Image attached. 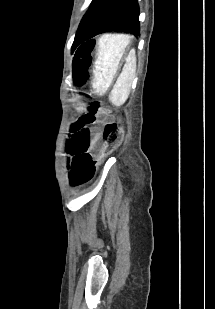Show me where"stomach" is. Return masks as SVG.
Here are the masks:
<instances>
[{
	"instance_id": "stomach-1",
	"label": "stomach",
	"mask_w": 215,
	"mask_h": 309,
	"mask_svg": "<svg viewBox=\"0 0 215 309\" xmlns=\"http://www.w3.org/2000/svg\"><path fill=\"white\" fill-rule=\"evenodd\" d=\"M130 43V36L122 33H109L99 38L92 80L97 93L106 92L111 85L121 62L129 55Z\"/></svg>"
}]
</instances>
